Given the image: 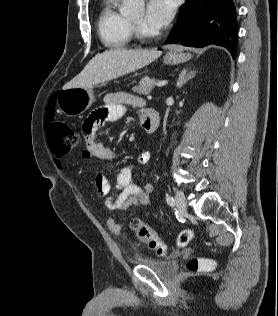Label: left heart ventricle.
Listing matches in <instances>:
<instances>
[{"label":"left heart ventricle","instance_id":"1","mask_svg":"<svg viewBox=\"0 0 278 316\" xmlns=\"http://www.w3.org/2000/svg\"><path fill=\"white\" fill-rule=\"evenodd\" d=\"M132 20L135 21V22H137V23H139V24H141V25H143L144 28H145L148 32H153V31L149 30V29L145 26L143 14H140V15L134 17Z\"/></svg>","mask_w":278,"mask_h":316}]
</instances>
